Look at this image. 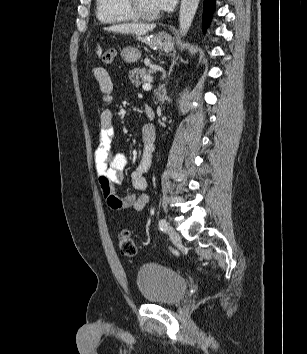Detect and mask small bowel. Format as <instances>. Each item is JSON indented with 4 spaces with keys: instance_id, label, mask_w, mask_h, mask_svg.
<instances>
[{
    "instance_id": "obj_1",
    "label": "small bowel",
    "mask_w": 307,
    "mask_h": 354,
    "mask_svg": "<svg viewBox=\"0 0 307 354\" xmlns=\"http://www.w3.org/2000/svg\"><path fill=\"white\" fill-rule=\"evenodd\" d=\"M91 75L98 83L102 102L108 106L113 98V82L108 71L103 67H95L92 69ZM99 125L98 147L94 163L99 186L106 202L112 210L133 208L136 211H142L149 203V195L145 192L148 188L145 173L152 163L155 141L154 128L151 125L142 128L143 152L137 168L131 174L132 186L139 193L121 197L116 193L115 187L123 182L128 160L125 154L113 151L115 128L113 114L108 107L102 109Z\"/></svg>"
}]
</instances>
